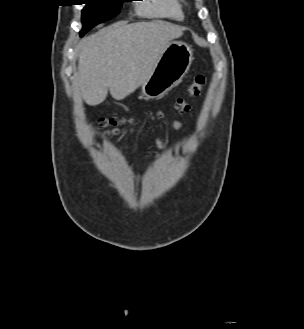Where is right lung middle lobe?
Listing matches in <instances>:
<instances>
[{
    "label": "right lung middle lobe",
    "instance_id": "1",
    "mask_svg": "<svg viewBox=\"0 0 304 329\" xmlns=\"http://www.w3.org/2000/svg\"><path fill=\"white\" fill-rule=\"evenodd\" d=\"M86 6L82 10L83 28L80 36H83L95 25L115 17L122 6V2L128 0H85Z\"/></svg>",
    "mask_w": 304,
    "mask_h": 329
}]
</instances>
